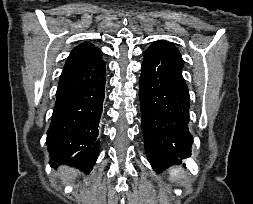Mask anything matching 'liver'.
<instances>
[{"instance_id":"obj_1","label":"liver","mask_w":253,"mask_h":204,"mask_svg":"<svg viewBox=\"0 0 253 204\" xmlns=\"http://www.w3.org/2000/svg\"><path fill=\"white\" fill-rule=\"evenodd\" d=\"M60 175L64 183H69L74 180L77 176V171L74 169H69L67 167H62L60 170Z\"/></svg>"}]
</instances>
